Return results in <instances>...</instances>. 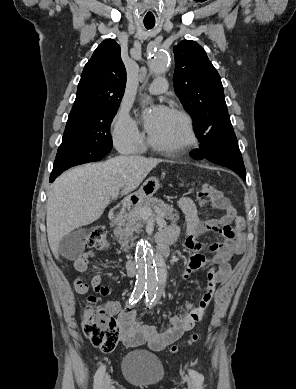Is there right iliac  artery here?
I'll return each instance as SVG.
<instances>
[{
	"label": "right iliac artery",
	"instance_id": "right-iliac-artery-1",
	"mask_svg": "<svg viewBox=\"0 0 296 389\" xmlns=\"http://www.w3.org/2000/svg\"><path fill=\"white\" fill-rule=\"evenodd\" d=\"M143 294H144V290L142 287L135 288L134 291L132 292L129 303L133 305L142 297ZM104 374H105V366H101L96 371L94 376V389H100Z\"/></svg>",
	"mask_w": 296,
	"mask_h": 389
}]
</instances>
